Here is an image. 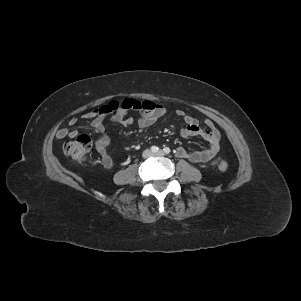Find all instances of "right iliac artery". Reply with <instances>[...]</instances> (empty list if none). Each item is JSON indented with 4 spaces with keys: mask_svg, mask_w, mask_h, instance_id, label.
<instances>
[{
    "mask_svg": "<svg viewBox=\"0 0 301 301\" xmlns=\"http://www.w3.org/2000/svg\"><path fill=\"white\" fill-rule=\"evenodd\" d=\"M151 151H152L153 153H156V152L158 151V147H157V146H152V147H151Z\"/></svg>",
    "mask_w": 301,
    "mask_h": 301,
    "instance_id": "1",
    "label": "right iliac artery"
}]
</instances>
